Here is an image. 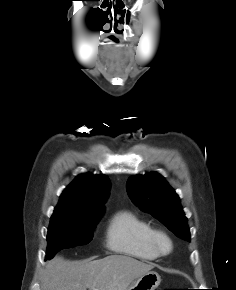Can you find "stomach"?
<instances>
[{"instance_id":"obj_1","label":"stomach","mask_w":236,"mask_h":290,"mask_svg":"<svg viewBox=\"0 0 236 290\" xmlns=\"http://www.w3.org/2000/svg\"><path fill=\"white\" fill-rule=\"evenodd\" d=\"M160 282V275L155 271H149L135 279L127 290H155Z\"/></svg>"}]
</instances>
